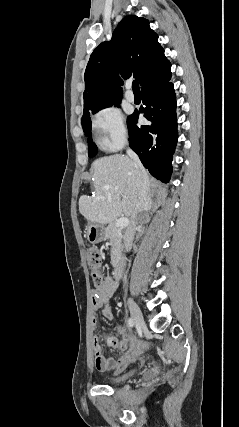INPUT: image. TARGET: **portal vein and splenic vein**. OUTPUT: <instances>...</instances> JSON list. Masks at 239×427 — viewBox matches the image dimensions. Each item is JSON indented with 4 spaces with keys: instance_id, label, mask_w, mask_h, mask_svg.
Wrapping results in <instances>:
<instances>
[{
    "instance_id": "obj_1",
    "label": "portal vein and splenic vein",
    "mask_w": 239,
    "mask_h": 427,
    "mask_svg": "<svg viewBox=\"0 0 239 427\" xmlns=\"http://www.w3.org/2000/svg\"><path fill=\"white\" fill-rule=\"evenodd\" d=\"M128 224H129V219L126 217H122L116 221L115 226L116 227H126V226H128Z\"/></svg>"
}]
</instances>
